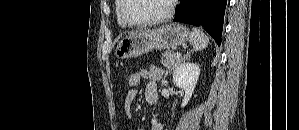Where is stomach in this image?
<instances>
[{
    "mask_svg": "<svg viewBox=\"0 0 299 130\" xmlns=\"http://www.w3.org/2000/svg\"><path fill=\"white\" fill-rule=\"evenodd\" d=\"M190 31L181 24H168L156 29H144L123 38L117 45L114 56L127 59L141 56L151 50L170 49L185 44Z\"/></svg>",
    "mask_w": 299,
    "mask_h": 130,
    "instance_id": "1",
    "label": "stomach"
}]
</instances>
